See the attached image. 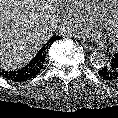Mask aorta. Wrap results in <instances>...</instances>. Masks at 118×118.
<instances>
[{
    "label": "aorta",
    "mask_w": 118,
    "mask_h": 118,
    "mask_svg": "<svg viewBox=\"0 0 118 118\" xmlns=\"http://www.w3.org/2000/svg\"><path fill=\"white\" fill-rule=\"evenodd\" d=\"M108 61V56L105 52L95 49L90 55V62L95 68H102Z\"/></svg>",
    "instance_id": "aorta-1"
}]
</instances>
